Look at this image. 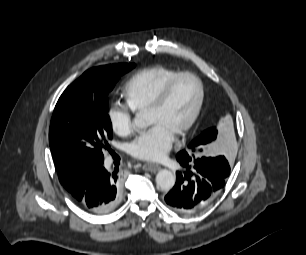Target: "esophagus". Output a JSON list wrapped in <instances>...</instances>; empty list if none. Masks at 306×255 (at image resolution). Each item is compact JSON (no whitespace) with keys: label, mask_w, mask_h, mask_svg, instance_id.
I'll return each instance as SVG.
<instances>
[{"label":"esophagus","mask_w":306,"mask_h":255,"mask_svg":"<svg viewBox=\"0 0 306 255\" xmlns=\"http://www.w3.org/2000/svg\"><path fill=\"white\" fill-rule=\"evenodd\" d=\"M142 169L144 171H148V172H156V171L160 170L161 167L157 164L146 163L142 166Z\"/></svg>","instance_id":"1"}]
</instances>
